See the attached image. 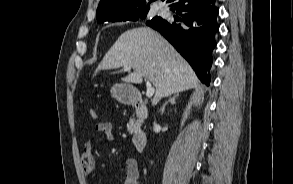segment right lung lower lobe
Instances as JSON below:
<instances>
[{"instance_id":"right-lung-lower-lobe-1","label":"right lung lower lobe","mask_w":293,"mask_h":184,"mask_svg":"<svg viewBox=\"0 0 293 184\" xmlns=\"http://www.w3.org/2000/svg\"><path fill=\"white\" fill-rule=\"evenodd\" d=\"M181 18L159 19L146 24L158 30L189 62L199 79L209 85L212 50L219 29L215 0H168Z\"/></svg>"}]
</instances>
